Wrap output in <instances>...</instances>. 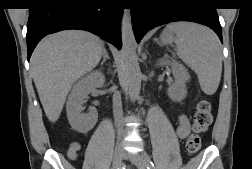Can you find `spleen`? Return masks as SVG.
Masks as SVG:
<instances>
[{
    "mask_svg": "<svg viewBox=\"0 0 252 169\" xmlns=\"http://www.w3.org/2000/svg\"><path fill=\"white\" fill-rule=\"evenodd\" d=\"M171 27L177 35L178 56L197 74L202 91L214 94L222 73L221 52L215 34L194 23H177Z\"/></svg>",
    "mask_w": 252,
    "mask_h": 169,
    "instance_id": "3e777b00",
    "label": "spleen"
}]
</instances>
